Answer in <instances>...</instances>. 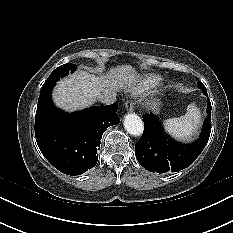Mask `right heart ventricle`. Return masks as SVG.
I'll return each instance as SVG.
<instances>
[{"mask_svg": "<svg viewBox=\"0 0 233 233\" xmlns=\"http://www.w3.org/2000/svg\"><path fill=\"white\" fill-rule=\"evenodd\" d=\"M160 78L156 76H147L143 78L135 88L136 91H145L155 87L159 84Z\"/></svg>", "mask_w": 233, "mask_h": 233, "instance_id": "e07e8e85", "label": "right heart ventricle"}]
</instances>
